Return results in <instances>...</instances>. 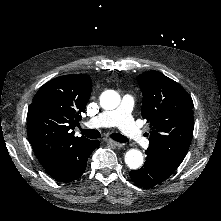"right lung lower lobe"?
Instances as JSON below:
<instances>
[{
  "instance_id": "obj_1",
  "label": "right lung lower lobe",
  "mask_w": 221,
  "mask_h": 221,
  "mask_svg": "<svg viewBox=\"0 0 221 221\" xmlns=\"http://www.w3.org/2000/svg\"><path fill=\"white\" fill-rule=\"evenodd\" d=\"M99 145L98 140H91L80 146L55 172L48 174L59 182H71L78 179L86 169L89 155Z\"/></svg>"
}]
</instances>
